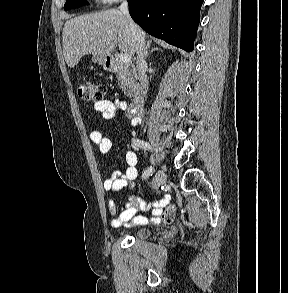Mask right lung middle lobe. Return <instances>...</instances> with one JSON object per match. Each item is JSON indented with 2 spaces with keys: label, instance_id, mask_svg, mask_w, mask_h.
Listing matches in <instances>:
<instances>
[{
  "label": "right lung middle lobe",
  "instance_id": "obj_1",
  "mask_svg": "<svg viewBox=\"0 0 288 293\" xmlns=\"http://www.w3.org/2000/svg\"><path fill=\"white\" fill-rule=\"evenodd\" d=\"M84 4H87L86 0H66V3L64 5V10L78 8Z\"/></svg>",
  "mask_w": 288,
  "mask_h": 293
}]
</instances>
